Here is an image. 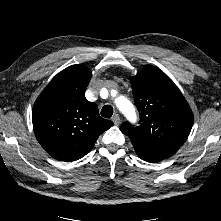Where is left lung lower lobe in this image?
<instances>
[{
  "instance_id": "1",
  "label": "left lung lower lobe",
  "mask_w": 221,
  "mask_h": 221,
  "mask_svg": "<svg viewBox=\"0 0 221 221\" xmlns=\"http://www.w3.org/2000/svg\"><path fill=\"white\" fill-rule=\"evenodd\" d=\"M134 149L137 153V155L144 161L150 162V163H157L161 160H163L164 158L159 157L156 154H153L149 151H147L146 149H144L142 146L138 145V144H133Z\"/></svg>"
}]
</instances>
